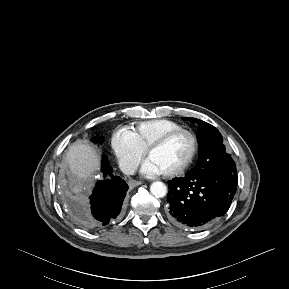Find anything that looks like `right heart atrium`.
Segmentation results:
<instances>
[{
	"mask_svg": "<svg viewBox=\"0 0 289 289\" xmlns=\"http://www.w3.org/2000/svg\"><path fill=\"white\" fill-rule=\"evenodd\" d=\"M111 142L122 169L126 172L134 171L144 157L145 151L139 146L133 132L128 129L117 130Z\"/></svg>",
	"mask_w": 289,
	"mask_h": 289,
	"instance_id": "1",
	"label": "right heart atrium"
}]
</instances>
